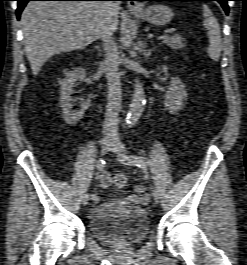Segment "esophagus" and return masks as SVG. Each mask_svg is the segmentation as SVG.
I'll list each match as a JSON object with an SVG mask.
<instances>
[{
	"label": "esophagus",
	"instance_id": "obj_1",
	"mask_svg": "<svg viewBox=\"0 0 247 265\" xmlns=\"http://www.w3.org/2000/svg\"><path fill=\"white\" fill-rule=\"evenodd\" d=\"M127 8L133 12H137V11L141 10V6L139 5V3L136 0L129 1Z\"/></svg>",
	"mask_w": 247,
	"mask_h": 265
}]
</instances>
